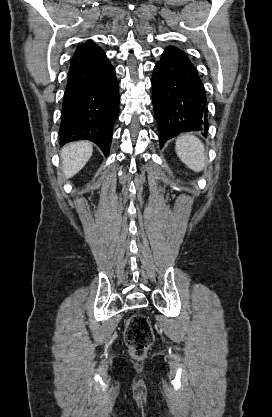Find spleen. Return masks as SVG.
Instances as JSON below:
<instances>
[{"instance_id":"1","label":"spleen","mask_w":272,"mask_h":417,"mask_svg":"<svg viewBox=\"0 0 272 417\" xmlns=\"http://www.w3.org/2000/svg\"><path fill=\"white\" fill-rule=\"evenodd\" d=\"M176 153L179 159L194 172H200L206 167V152L202 142L187 133L176 139Z\"/></svg>"}]
</instances>
